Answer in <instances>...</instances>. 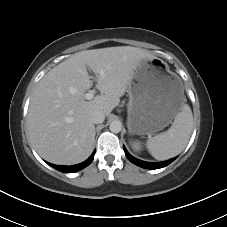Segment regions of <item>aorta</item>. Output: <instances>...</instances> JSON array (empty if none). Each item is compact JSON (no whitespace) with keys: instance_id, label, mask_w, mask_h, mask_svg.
I'll return each mask as SVG.
<instances>
[{"instance_id":"1","label":"aorta","mask_w":227,"mask_h":227,"mask_svg":"<svg viewBox=\"0 0 227 227\" xmlns=\"http://www.w3.org/2000/svg\"><path fill=\"white\" fill-rule=\"evenodd\" d=\"M110 131L113 133H119L122 129V124L120 121H113L110 123Z\"/></svg>"}]
</instances>
